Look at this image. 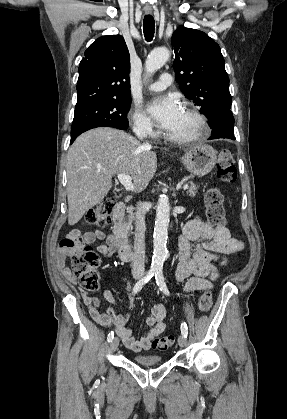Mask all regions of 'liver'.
<instances>
[{"label": "liver", "instance_id": "obj_1", "mask_svg": "<svg viewBox=\"0 0 287 419\" xmlns=\"http://www.w3.org/2000/svg\"><path fill=\"white\" fill-rule=\"evenodd\" d=\"M156 169V152L124 131L101 127L81 134L67 154L68 224H76L103 201L114 174L129 175L134 189L142 191Z\"/></svg>", "mask_w": 287, "mask_h": 419}]
</instances>
